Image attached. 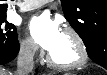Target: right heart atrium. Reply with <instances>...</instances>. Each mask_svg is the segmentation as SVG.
I'll list each match as a JSON object with an SVG mask.
<instances>
[{"instance_id": "right-heart-atrium-1", "label": "right heart atrium", "mask_w": 107, "mask_h": 75, "mask_svg": "<svg viewBox=\"0 0 107 75\" xmlns=\"http://www.w3.org/2000/svg\"><path fill=\"white\" fill-rule=\"evenodd\" d=\"M20 52L25 58L31 59L37 55L38 49L30 37H24L20 42Z\"/></svg>"}]
</instances>
